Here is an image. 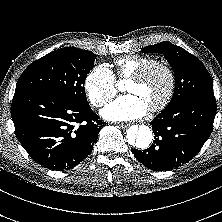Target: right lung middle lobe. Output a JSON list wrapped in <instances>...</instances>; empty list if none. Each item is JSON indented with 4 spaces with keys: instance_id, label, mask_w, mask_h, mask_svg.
Here are the masks:
<instances>
[{
    "instance_id": "dd1d6c3e",
    "label": "right lung middle lobe",
    "mask_w": 222,
    "mask_h": 222,
    "mask_svg": "<svg viewBox=\"0 0 222 222\" xmlns=\"http://www.w3.org/2000/svg\"><path fill=\"white\" fill-rule=\"evenodd\" d=\"M95 54L75 47L48 53L30 64L18 79L17 91H42L88 104L84 83Z\"/></svg>"
}]
</instances>
